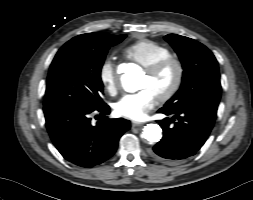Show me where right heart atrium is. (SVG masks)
<instances>
[{"mask_svg": "<svg viewBox=\"0 0 253 200\" xmlns=\"http://www.w3.org/2000/svg\"><path fill=\"white\" fill-rule=\"evenodd\" d=\"M99 78L106 89L110 94H115L119 87V73L118 66L111 58H106L99 69Z\"/></svg>", "mask_w": 253, "mask_h": 200, "instance_id": "obj_1", "label": "right heart atrium"}]
</instances>
